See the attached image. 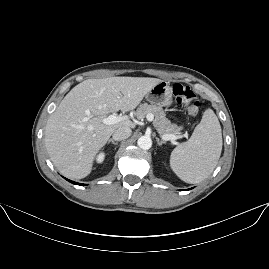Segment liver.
<instances>
[{
    "instance_id": "6515ba94",
    "label": "liver",
    "mask_w": 269,
    "mask_h": 269,
    "mask_svg": "<svg viewBox=\"0 0 269 269\" xmlns=\"http://www.w3.org/2000/svg\"><path fill=\"white\" fill-rule=\"evenodd\" d=\"M162 80L148 77L87 79L75 86L50 115L45 146L61 174L82 179L90 174L93 160L109 137L121 127L135 128L126 119L107 125L109 113L135 109Z\"/></svg>"
}]
</instances>
